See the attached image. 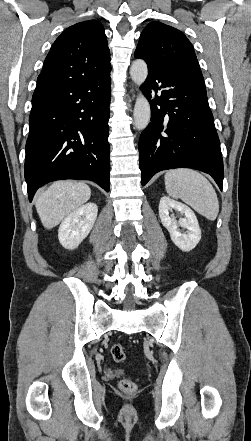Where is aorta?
<instances>
[{
	"mask_svg": "<svg viewBox=\"0 0 251 441\" xmlns=\"http://www.w3.org/2000/svg\"><path fill=\"white\" fill-rule=\"evenodd\" d=\"M147 75L148 68L146 62L141 59L135 60L130 68V76L133 82L137 86H141L146 80ZM150 117V104L142 94H139L134 107V124L136 129L144 130L150 122Z\"/></svg>",
	"mask_w": 251,
	"mask_h": 441,
	"instance_id": "aorta-1",
	"label": "aorta"
}]
</instances>
